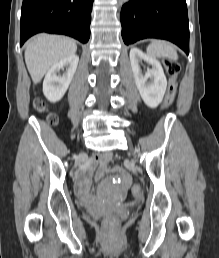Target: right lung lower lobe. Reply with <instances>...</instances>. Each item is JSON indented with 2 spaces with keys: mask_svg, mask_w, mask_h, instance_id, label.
Listing matches in <instances>:
<instances>
[{
  "mask_svg": "<svg viewBox=\"0 0 219 258\" xmlns=\"http://www.w3.org/2000/svg\"><path fill=\"white\" fill-rule=\"evenodd\" d=\"M94 0H23L20 45L39 32L64 34L82 43L90 37Z\"/></svg>",
  "mask_w": 219,
  "mask_h": 258,
  "instance_id": "right-lung-lower-lobe-1",
  "label": "right lung lower lobe"
}]
</instances>
